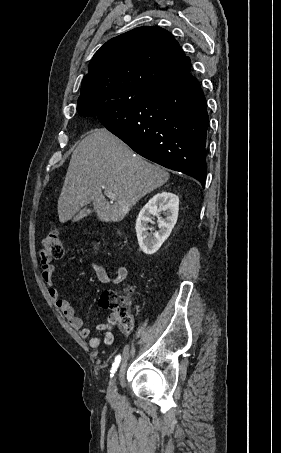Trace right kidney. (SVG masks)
Masks as SVG:
<instances>
[{
	"label": "right kidney",
	"instance_id": "ca27d5eb",
	"mask_svg": "<svg viewBox=\"0 0 281 453\" xmlns=\"http://www.w3.org/2000/svg\"><path fill=\"white\" fill-rule=\"evenodd\" d=\"M160 210H164L163 214H165V218H158L159 231H155L153 237H150V233H148V231H152V229L148 227V222L151 220L150 216L151 214L159 216L158 212H160ZM178 210L179 196L173 194V192H165V190L154 194V196L146 202L142 210H140L137 216L135 229L139 247L145 255H154V253L160 249L161 245H163L164 241L170 237V233L178 218Z\"/></svg>",
	"mask_w": 281,
	"mask_h": 453
}]
</instances>
